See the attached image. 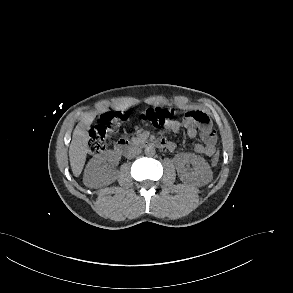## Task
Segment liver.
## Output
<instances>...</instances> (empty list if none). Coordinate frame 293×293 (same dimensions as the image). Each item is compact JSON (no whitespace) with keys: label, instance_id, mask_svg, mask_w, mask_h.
<instances>
[{"label":"liver","instance_id":"1","mask_svg":"<svg viewBox=\"0 0 293 293\" xmlns=\"http://www.w3.org/2000/svg\"><path fill=\"white\" fill-rule=\"evenodd\" d=\"M92 120L93 118H84L73 132L69 147V160L75 177H79L86 161L89 142L88 129Z\"/></svg>","mask_w":293,"mask_h":293}]
</instances>
